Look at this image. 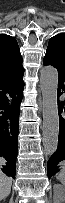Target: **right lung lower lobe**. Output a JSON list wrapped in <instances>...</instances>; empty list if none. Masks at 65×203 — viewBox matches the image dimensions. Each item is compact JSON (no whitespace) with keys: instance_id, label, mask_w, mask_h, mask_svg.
<instances>
[{"instance_id":"obj_1","label":"right lung lower lobe","mask_w":65,"mask_h":203,"mask_svg":"<svg viewBox=\"0 0 65 203\" xmlns=\"http://www.w3.org/2000/svg\"><path fill=\"white\" fill-rule=\"evenodd\" d=\"M23 72L0 77V157L7 162L1 171L15 177L18 151L20 103L23 97Z\"/></svg>"}]
</instances>
